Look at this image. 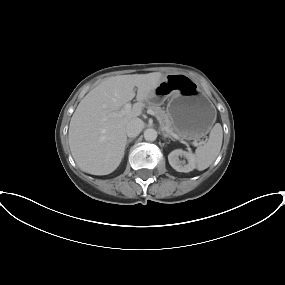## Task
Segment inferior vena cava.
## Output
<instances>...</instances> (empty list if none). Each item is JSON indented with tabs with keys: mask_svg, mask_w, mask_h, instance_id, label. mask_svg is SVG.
Here are the masks:
<instances>
[{
	"mask_svg": "<svg viewBox=\"0 0 285 285\" xmlns=\"http://www.w3.org/2000/svg\"><path fill=\"white\" fill-rule=\"evenodd\" d=\"M144 127V123L139 118L132 119L126 126V134L130 138H134L140 134Z\"/></svg>",
	"mask_w": 285,
	"mask_h": 285,
	"instance_id": "inferior-vena-cava-1",
	"label": "inferior vena cava"
}]
</instances>
